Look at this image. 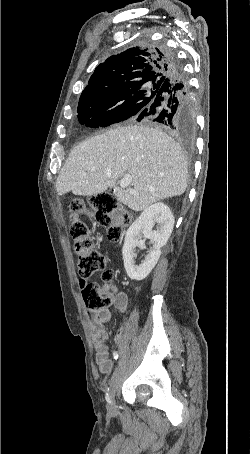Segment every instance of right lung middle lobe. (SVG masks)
<instances>
[{
	"mask_svg": "<svg viewBox=\"0 0 250 454\" xmlns=\"http://www.w3.org/2000/svg\"><path fill=\"white\" fill-rule=\"evenodd\" d=\"M152 84L153 86L146 84L135 87L115 99L78 105L79 122L89 127L98 128L136 116L153 101L159 91L160 85Z\"/></svg>",
	"mask_w": 250,
	"mask_h": 454,
	"instance_id": "dd1d6c3e",
	"label": "right lung middle lobe"
}]
</instances>
